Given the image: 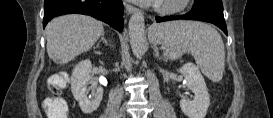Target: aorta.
Instances as JSON below:
<instances>
[{
    "label": "aorta",
    "instance_id": "1",
    "mask_svg": "<svg viewBox=\"0 0 273 118\" xmlns=\"http://www.w3.org/2000/svg\"><path fill=\"white\" fill-rule=\"evenodd\" d=\"M129 37L133 54L140 58L146 49V39L144 15L139 10L129 20Z\"/></svg>",
    "mask_w": 273,
    "mask_h": 118
}]
</instances>
